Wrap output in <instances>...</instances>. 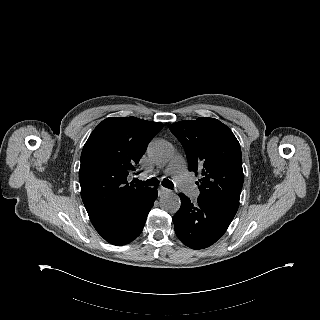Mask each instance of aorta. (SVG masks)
Wrapping results in <instances>:
<instances>
[{
    "mask_svg": "<svg viewBox=\"0 0 320 320\" xmlns=\"http://www.w3.org/2000/svg\"><path fill=\"white\" fill-rule=\"evenodd\" d=\"M173 153L171 144L164 140L152 141L147 149L148 157L156 164H166ZM160 206L168 213H176L181 206V200L175 193H166L160 198Z\"/></svg>",
    "mask_w": 320,
    "mask_h": 320,
    "instance_id": "aorta-1",
    "label": "aorta"
}]
</instances>
